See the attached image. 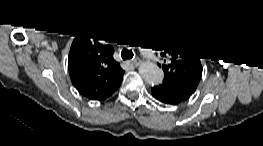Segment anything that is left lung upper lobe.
Instances as JSON below:
<instances>
[{"instance_id": "5c2ea615", "label": "left lung upper lobe", "mask_w": 263, "mask_h": 146, "mask_svg": "<svg viewBox=\"0 0 263 146\" xmlns=\"http://www.w3.org/2000/svg\"><path fill=\"white\" fill-rule=\"evenodd\" d=\"M148 46L164 60L163 82L189 98L196 90L202 66L196 48L174 31L158 32L148 40Z\"/></svg>"}]
</instances>
